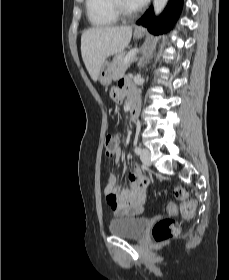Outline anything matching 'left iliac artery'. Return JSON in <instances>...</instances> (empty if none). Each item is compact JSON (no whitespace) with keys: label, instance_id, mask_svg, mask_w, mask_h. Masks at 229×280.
I'll return each instance as SVG.
<instances>
[{"label":"left iliac artery","instance_id":"44dca946","mask_svg":"<svg viewBox=\"0 0 229 280\" xmlns=\"http://www.w3.org/2000/svg\"><path fill=\"white\" fill-rule=\"evenodd\" d=\"M134 152L139 155L141 153V148L136 146L135 149H134Z\"/></svg>","mask_w":229,"mask_h":280}]
</instances>
